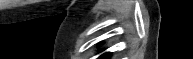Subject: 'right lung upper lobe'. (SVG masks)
<instances>
[{
    "mask_svg": "<svg viewBox=\"0 0 193 59\" xmlns=\"http://www.w3.org/2000/svg\"><path fill=\"white\" fill-rule=\"evenodd\" d=\"M109 56H110V54L106 53V54L102 55L101 57H99L98 59H108Z\"/></svg>",
    "mask_w": 193,
    "mask_h": 59,
    "instance_id": "1",
    "label": "right lung upper lobe"
}]
</instances>
